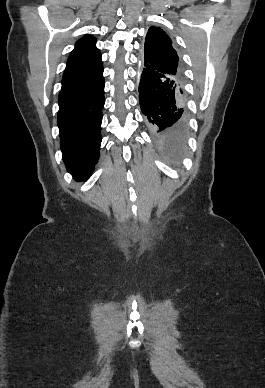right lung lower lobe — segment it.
I'll return each instance as SVG.
<instances>
[{"instance_id": "obj_1", "label": "right lung lower lobe", "mask_w": 265, "mask_h": 388, "mask_svg": "<svg viewBox=\"0 0 265 388\" xmlns=\"http://www.w3.org/2000/svg\"><path fill=\"white\" fill-rule=\"evenodd\" d=\"M103 72L86 81L62 86L57 124L61 150L68 172L86 180L97 163L104 99Z\"/></svg>"}]
</instances>
